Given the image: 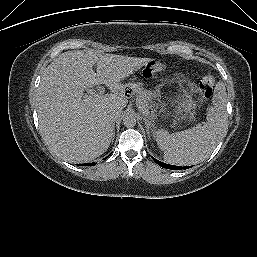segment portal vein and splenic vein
Instances as JSON below:
<instances>
[{
  "instance_id": "obj_1",
  "label": "portal vein and splenic vein",
  "mask_w": 257,
  "mask_h": 257,
  "mask_svg": "<svg viewBox=\"0 0 257 257\" xmlns=\"http://www.w3.org/2000/svg\"><path fill=\"white\" fill-rule=\"evenodd\" d=\"M103 96V94L101 92L99 93H94L91 92L89 95H85L84 98L85 100H89V101H96L98 99H100ZM143 110V114L144 115H149V111L147 109H142Z\"/></svg>"
}]
</instances>
